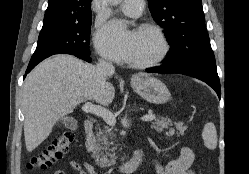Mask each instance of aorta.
<instances>
[{
	"label": "aorta",
	"instance_id": "1",
	"mask_svg": "<svg viewBox=\"0 0 249 174\" xmlns=\"http://www.w3.org/2000/svg\"><path fill=\"white\" fill-rule=\"evenodd\" d=\"M109 1V3L111 4V5H117V4H119L120 2H122V0H108Z\"/></svg>",
	"mask_w": 249,
	"mask_h": 174
}]
</instances>
